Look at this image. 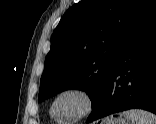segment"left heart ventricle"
<instances>
[{"instance_id": "1", "label": "left heart ventricle", "mask_w": 156, "mask_h": 124, "mask_svg": "<svg viewBox=\"0 0 156 124\" xmlns=\"http://www.w3.org/2000/svg\"><path fill=\"white\" fill-rule=\"evenodd\" d=\"M85 107L86 101L82 95L67 93L57 100L54 106V114L61 119L73 118L80 115Z\"/></svg>"}]
</instances>
